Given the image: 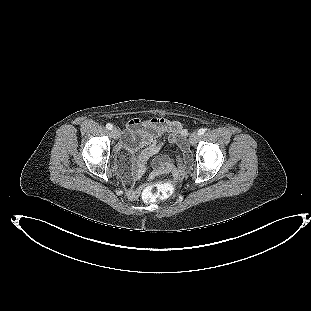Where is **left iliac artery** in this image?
Masks as SVG:
<instances>
[{
  "mask_svg": "<svg viewBox=\"0 0 311 311\" xmlns=\"http://www.w3.org/2000/svg\"><path fill=\"white\" fill-rule=\"evenodd\" d=\"M205 132H206V129H205V128H201V129H199V131H198L199 135H203Z\"/></svg>",
  "mask_w": 311,
  "mask_h": 311,
  "instance_id": "left-iliac-artery-1",
  "label": "left iliac artery"
}]
</instances>
